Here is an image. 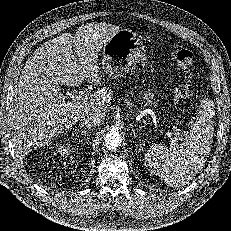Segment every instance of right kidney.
<instances>
[{
  "label": "right kidney",
  "instance_id": "obj_1",
  "mask_svg": "<svg viewBox=\"0 0 231 231\" xmlns=\"http://www.w3.org/2000/svg\"><path fill=\"white\" fill-rule=\"evenodd\" d=\"M72 149L70 144H60L57 148H56V153L61 154V156H65L67 157L68 155H70Z\"/></svg>",
  "mask_w": 231,
  "mask_h": 231
}]
</instances>
